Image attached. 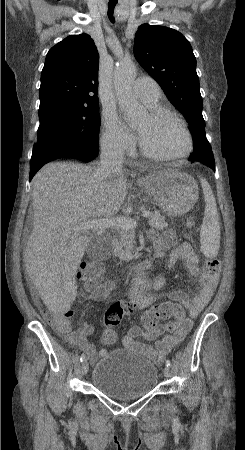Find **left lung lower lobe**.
Instances as JSON below:
<instances>
[{"label":"left lung lower lobe","mask_w":245,"mask_h":450,"mask_svg":"<svg viewBox=\"0 0 245 450\" xmlns=\"http://www.w3.org/2000/svg\"><path fill=\"white\" fill-rule=\"evenodd\" d=\"M202 153L205 154L206 156L196 155L193 158L198 159L199 160L198 162L204 163V164L208 165L210 168H212L213 170H215V161H214L212 149L210 147L200 146L198 148L197 154H202ZM190 161L194 162L196 160H190Z\"/></svg>","instance_id":"left-lung-lower-lobe-1"}]
</instances>
